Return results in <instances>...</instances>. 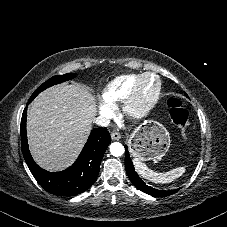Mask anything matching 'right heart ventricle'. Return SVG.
I'll use <instances>...</instances> for the list:
<instances>
[{
    "instance_id": "1",
    "label": "right heart ventricle",
    "mask_w": 227,
    "mask_h": 227,
    "mask_svg": "<svg viewBox=\"0 0 227 227\" xmlns=\"http://www.w3.org/2000/svg\"><path fill=\"white\" fill-rule=\"evenodd\" d=\"M140 75L135 73L123 74L112 79L100 93L103 102L112 105L116 102L124 101Z\"/></svg>"
}]
</instances>
